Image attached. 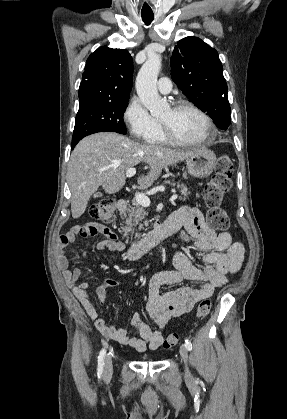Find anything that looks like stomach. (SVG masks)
<instances>
[{
	"label": "stomach",
	"mask_w": 287,
	"mask_h": 419,
	"mask_svg": "<svg viewBox=\"0 0 287 419\" xmlns=\"http://www.w3.org/2000/svg\"><path fill=\"white\" fill-rule=\"evenodd\" d=\"M187 170L196 178H207L216 167V155L208 149L202 148L186 159Z\"/></svg>",
	"instance_id": "obj_1"
}]
</instances>
